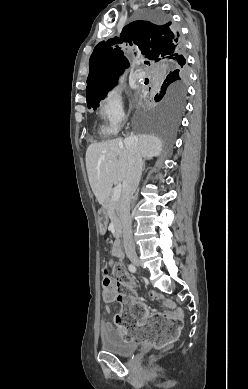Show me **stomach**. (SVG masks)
Returning a JSON list of instances; mask_svg holds the SVG:
<instances>
[{
    "label": "stomach",
    "instance_id": "stomach-1",
    "mask_svg": "<svg viewBox=\"0 0 248 389\" xmlns=\"http://www.w3.org/2000/svg\"><path fill=\"white\" fill-rule=\"evenodd\" d=\"M99 213H100V229H99V234L100 235H105L106 232L108 231V226L107 221L110 219V214L106 213V208L105 207H100L99 208Z\"/></svg>",
    "mask_w": 248,
    "mask_h": 389
}]
</instances>
